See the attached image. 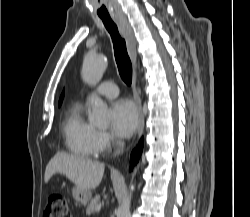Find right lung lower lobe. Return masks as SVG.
<instances>
[{
  "label": "right lung lower lobe",
  "mask_w": 250,
  "mask_h": 217,
  "mask_svg": "<svg viewBox=\"0 0 250 217\" xmlns=\"http://www.w3.org/2000/svg\"><path fill=\"white\" fill-rule=\"evenodd\" d=\"M143 149V139H141L140 143L138 144L137 148L131 154V165L136 164L140 158Z\"/></svg>",
  "instance_id": "98d812e1"
}]
</instances>
